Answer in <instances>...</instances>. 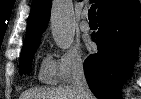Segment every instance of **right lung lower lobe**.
I'll return each mask as SVG.
<instances>
[{
  "label": "right lung lower lobe",
  "instance_id": "1",
  "mask_svg": "<svg viewBox=\"0 0 141 99\" xmlns=\"http://www.w3.org/2000/svg\"><path fill=\"white\" fill-rule=\"evenodd\" d=\"M136 0H110L98 13L99 30L92 35L98 52L84 62L86 80L98 99H119V89L130 75L141 42Z\"/></svg>",
  "mask_w": 141,
  "mask_h": 99
}]
</instances>
